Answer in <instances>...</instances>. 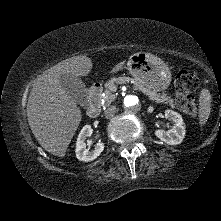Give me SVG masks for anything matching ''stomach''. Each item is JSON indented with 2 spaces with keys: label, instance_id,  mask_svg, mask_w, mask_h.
Returning <instances> with one entry per match:
<instances>
[{
  "label": "stomach",
  "instance_id": "obj_1",
  "mask_svg": "<svg viewBox=\"0 0 221 221\" xmlns=\"http://www.w3.org/2000/svg\"><path fill=\"white\" fill-rule=\"evenodd\" d=\"M127 69L135 81L152 91L161 92L170 85L171 72L168 65L151 53H134L129 57Z\"/></svg>",
  "mask_w": 221,
  "mask_h": 221
}]
</instances>
